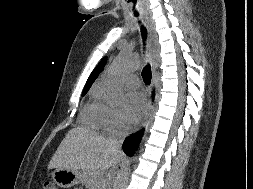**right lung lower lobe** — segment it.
Returning <instances> with one entry per match:
<instances>
[{
    "instance_id": "obj_1",
    "label": "right lung lower lobe",
    "mask_w": 253,
    "mask_h": 189,
    "mask_svg": "<svg viewBox=\"0 0 253 189\" xmlns=\"http://www.w3.org/2000/svg\"><path fill=\"white\" fill-rule=\"evenodd\" d=\"M143 130L125 139L123 150L128 156H133L142 138Z\"/></svg>"
}]
</instances>
